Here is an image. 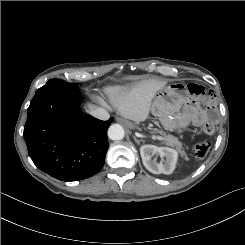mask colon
<instances>
[{
	"mask_svg": "<svg viewBox=\"0 0 245 245\" xmlns=\"http://www.w3.org/2000/svg\"><path fill=\"white\" fill-rule=\"evenodd\" d=\"M202 132L206 135H212L215 132V126L212 123H205L202 127ZM210 149V143L208 141H199L194 147V154L198 158L206 156Z\"/></svg>",
	"mask_w": 245,
	"mask_h": 245,
	"instance_id": "1",
	"label": "colon"
}]
</instances>
